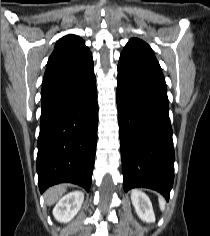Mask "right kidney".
Instances as JSON below:
<instances>
[{
    "mask_svg": "<svg viewBox=\"0 0 210 236\" xmlns=\"http://www.w3.org/2000/svg\"><path fill=\"white\" fill-rule=\"evenodd\" d=\"M84 200L80 191L71 192L62 197L53 209V216L57 221L67 223L78 213Z\"/></svg>",
    "mask_w": 210,
    "mask_h": 236,
    "instance_id": "right-kidney-1",
    "label": "right kidney"
}]
</instances>
